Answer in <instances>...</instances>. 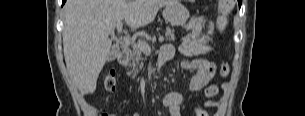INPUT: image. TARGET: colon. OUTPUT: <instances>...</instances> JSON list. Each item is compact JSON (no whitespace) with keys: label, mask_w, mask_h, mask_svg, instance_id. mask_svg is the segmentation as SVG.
I'll list each match as a JSON object with an SVG mask.
<instances>
[{"label":"colon","mask_w":305,"mask_h":116,"mask_svg":"<svg viewBox=\"0 0 305 116\" xmlns=\"http://www.w3.org/2000/svg\"><path fill=\"white\" fill-rule=\"evenodd\" d=\"M218 10L221 15L227 17L231 14L233 9V4L231 0H218L217 1ZM220 74L222 77H226L229 74V67L224 64L220 69ZM116 78L113 71L108 72L104 79V87L108 93H112L116 89ZM101 116H116L113 113H103Z\"/></svg>","instance_id":"obj_1"}]
</instances>
